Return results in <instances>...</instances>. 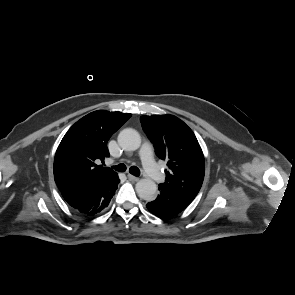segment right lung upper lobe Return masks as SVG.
Segmentation results:
<instances>
[{
  "label": "right lung upper lobe",
  "instance_id": "1",
  "mask_svg": "<svg viewBox=\"0 0 295 295\" xmlns=\"http://www.w3.org/2000/svg\"><path fill=\"white\" fill-rule=\"evenodd\" d=\"M130 117L129 113L98 110L68 130L54 158V179L61 193L92 188L117 174L98 164L109 157L110 137Z\"/></svg>",
  "mask_w": 295,
  "mask_h": 295
}]
</instances>
